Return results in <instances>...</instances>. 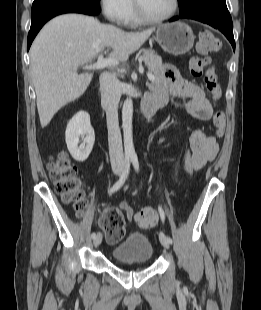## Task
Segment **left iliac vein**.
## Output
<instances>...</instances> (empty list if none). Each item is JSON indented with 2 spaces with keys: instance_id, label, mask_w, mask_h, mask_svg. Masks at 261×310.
Listing matches in <instances>:
<instances>
[{
  "instance_id": "1",
  "label": "left iliac vein",
  "mask_w": 261,
  "mask_h": 310,
  "mask_svg": "<svg viewBox=\"0 0 261 310\" xmlns=\"http://www.w3.org/2000/svg\"><path fill=\"white\" fill-rule=\"evenodd\" d=\"M159 240L163 247H165L166 249L170 247V242L167 240V236H165L163 233L159 234Z\"/></svg>"
}]
</instances>
